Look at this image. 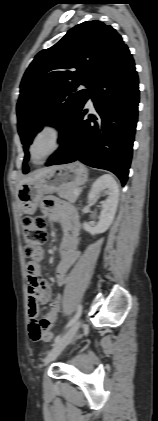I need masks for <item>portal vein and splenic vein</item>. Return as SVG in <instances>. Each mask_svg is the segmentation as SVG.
I'll use <instances>...</instances> for the list:
<instances>
[{
	"instance_id": "portal-vein-and-splenic-vein-1",
	"label": "portal vein and splenic vein",
	"mask_w": 158,
	"mask_h": 421,
	"mask_svg": "<svg viewBox=\"0 0 158 421\" xmlns=\"http://www.w3.org/2000/svg\"><path fill=\"white\" fill-rule=\"evenodd\" d=\"M74 194H75L76 196H78V195L80 194V191H79L78 189H75V190H74Z\"/></svg>"
}]
</instances>
